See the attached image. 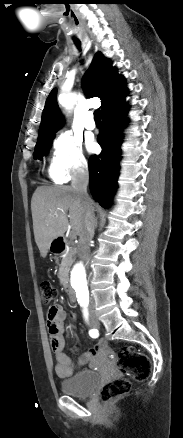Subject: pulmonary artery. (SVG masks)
Wrapping results in <instances>:
<instances>
[{"instance_id": "obj_1", "label": "pulmonary artery", "mask_w": 183, "mask_h": 438, "mask_svg": "<svg viewBox=\"0 0 183 438\" xmlns=\"http://www.w3.org/2000/svg\"><path fill=\"white\" fill-rule=\"evenodd\" d=\"M84 126L88 130H93L96 127V124L93 120V115L91 112L86 114L85 120H84Z\"/></svg>"}]
</instances>
